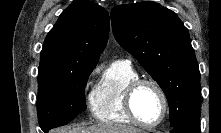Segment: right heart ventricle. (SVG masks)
<instances>
[{
	"label": "right heart ventricle",
	"instance_id": "obj_1",
	"mask_svg": "<svg viewBox=\"0 0 221 133\" xmlns=\"http://www.w3.org/2000/svg\"><path fill=\"white\" fill-rule=\"evenodd\" d=\"M138 78V72L127 60L115 61L107 67L90 96L93 117L107 124H132L124 96L127 86Z\"/></svg>",
	"mask_w": 221,
	"mask_h": 133
}]
</instances>
